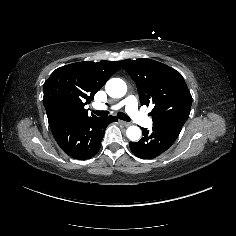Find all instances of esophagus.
<instances>
[{
	"label": "esophagus",
	"instance_id": "esophagus-1",
	"mask_svg": "<svg viewBox=\"0 0 236 236\" xmlns=\"http://www.w3.org/2000/svg\"><path fill=\"white\" fill-rule=\"evenodd\" d=\"M119 122H120L121 124H123L124 126H129V125H130V123L125 122V121H122V120H119Z\"/></svg>",
	"mask_w": 236,
	"mask_h": 236
}]
</instances>
